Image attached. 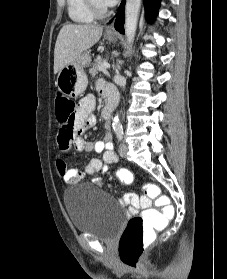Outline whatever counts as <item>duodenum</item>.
Segmentation results:
<instances>
[{
  "label": "duodenum",
  "instance_id": "duodenum-1",
  "mask_svg": "<svg viewBox=\"0 0 227 279\" xmlns=\"http://www.w3.org/2000/svg\"><path fill=\"white\" fill-rule=\"evenodd\" d=\"M115 108V101L109 100L103 108L102 115L105 119H109L112 116V113Z\"/></svg>",
  "mask_w": 227,
  "mask_h": 279
}]
</instances>
